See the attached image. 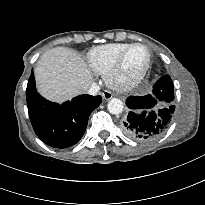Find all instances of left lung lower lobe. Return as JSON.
<instances>
[{
  "label": "left lung lower lobe",
  "instance_id": "0a47b994",
  "mask_svg": "<svg viewBox=\"0 0 205 205\" xmlns=\"http://www.w3.org/2000/svg\"><path fill=\"white\" fill-rule=\"evenodd\" d=\"M168 100L169 96L158 87L153 88V94L128 97L126 104L130 111L121 125L123 132L140 142H150L163 135L175 110Z\"/></svg>",
  "mask_w": 205,
  "mask_h": 205
}]
</instances>
